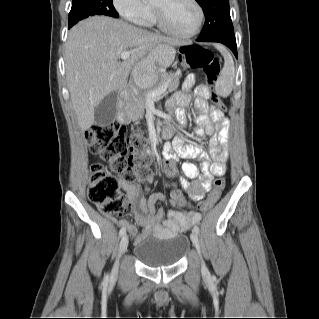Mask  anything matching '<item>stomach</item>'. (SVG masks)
I'll list each match as a JSON object with an SVG mask.
<instances>
[{"label": "stomach", "instance_id": "0dacf381", "mask_svg": "<svg viewBox=\"0 0 319 319\" xmlns=\"http://www.w3.org/2000/svg\"><path fill=\"white\" fill-rule=\"evenodd\" d=\"M176 55L175 48L168 43L157 45L151 58L146 62H141L133 70V76L136 84L140 88H151L158 81V68L169 67Z\"/></svg>", "mask_w": 319, "mask_h": 319}]
</instances>
